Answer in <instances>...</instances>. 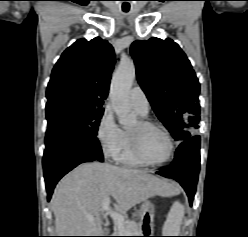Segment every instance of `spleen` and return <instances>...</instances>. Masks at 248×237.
Listing matches in <instances>:
<instances>
[{"label":"spleen","instance_id":"spleen-1","mask_svg":"<svg viewBox=\"0 0 248 237\" xmlns=\"http://www.w3.org/2000/svg\"><path fill=\"white\" fill-rule=\"evenodd\" d=\"M184 210V206L180 202H174L163 226V234L165 236H178L184 217Z\"/></svg>","mask_w":248,"mask_h":237}]
</instances>
